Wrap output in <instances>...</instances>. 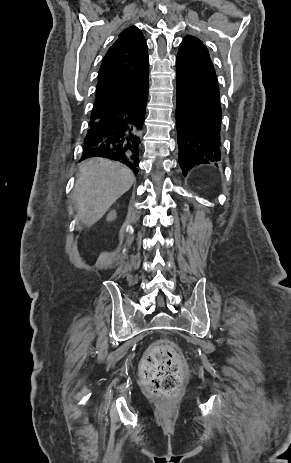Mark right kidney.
Segmentation results:
<instances>
[{
	"instance_id": "right-kidney-1",
	"label": "right kidney",
	"mask_w": 291,
	"mask_h": 463,
	"mask_svg": "<svg viewBox=\"0 0 291 463\" xmlns=\"http://www.w3.org/2000/svg\"><path fill=\"white\" fill-rule=\"evenodd\" d=\"M116 217H117L116 211L112 210L108 213L106 220L110 222V221L115 220Z\"/></svg>"
}]
</instances>
